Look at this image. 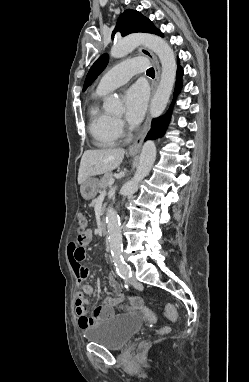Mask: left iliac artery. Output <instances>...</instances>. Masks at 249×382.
<instances>
[{"mask_svg": "<svg viewBox=\"0 0 249 382\" xmlns=\"http://www.w3.org/2000/svg\"><path fill=\"white\" fill-rule=\"evenodd\" d=\"M111 253L119 276L123 279L130 278L132 276V271L130 266L124 261L122 253L120 251H114Z\"/></svg>", "mask_w": 249, "mask_h": 382, "instance_id": "left-iliac-artery-1", "label": "left iliac artery"}]
</instances>
